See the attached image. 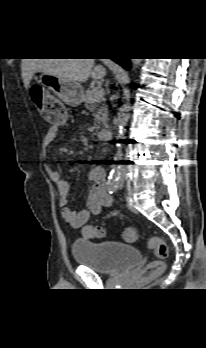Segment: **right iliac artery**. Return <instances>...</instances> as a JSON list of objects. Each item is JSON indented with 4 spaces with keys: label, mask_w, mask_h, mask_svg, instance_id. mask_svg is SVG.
Returning <instances> with one entry per match:
<instances>
[{
    "label": "right iliac artery",
    "mask_w": 206,
    "mask_h": 348,
    "mask_svg": "<svg viewBox=\"0 0 206 348\" xmlns=\"http://www.w3.org/2000/svg\"><path fill=\"white\" fill-rule=\"evenodd\" d=\"M120 174L114 170L110 173L107 182V190L110 194L114 193L117 190V183L119 181Z\"/></svg>",
    "instance_id": "obj_1"
}]
</instances>
